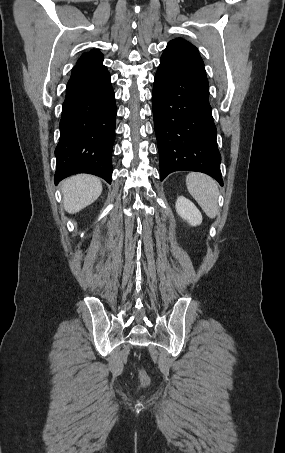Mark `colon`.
Listing matches in <instances>:
<instances>
[{
	"label": "colon",
	"mask_w": 285,
	"mask_h": 453,
	"mask_svg": "<svg viewBox=\"0 0 285 453\" xmlns=\"http://www.w3.org/2000/svg\"><path fill=\"white\" fill-rule=\"evenodd\" d=\"M139 379H140L141 385H143V386H145L149 383V377L144 370H140Z\"/></svg>",
	"instance_id": "obj_1"
}]
</instances>
